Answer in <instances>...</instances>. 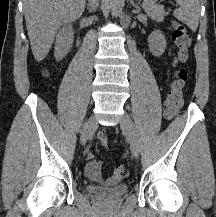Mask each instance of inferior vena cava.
Returning <instances> with one entry per match:
<instances>
[{
    "label": "inferior vena cava",
    "instance_id": "inferior-vena-cava-1",
    "mask_svg": "<svg viewBox=\"0 0 216 217\" xmlns=\"http://www.w3.org/2000/svg\"><path fill=\"white\" fill-rule=\"evenodd\" d=\"M89 1V5H90V9L95 10L98 6V1L99 0H88Z\"/></svg>",
    "mask_w": 216,
    "mask_h": 217
}]
</instances>
